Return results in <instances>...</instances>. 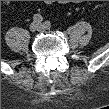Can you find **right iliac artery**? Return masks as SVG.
Returning <instances> with one entry per match:
<instances>
[{
  "label": "right iliac artery",
  "mask_w": 109,
  "mask_h": 109,
  "mask_svg": "<svg viewBox=\"0 0 109 109\" xmlns=\"http://www.w3.org/2000/svg\"><path fill=\"white\" fill-rule=\"evenodd\" d=\"M34 22L41 23L43 21V17L40 14H35L33 16Z\"/></svg>",
  "instance_id": "1"
}]
</instances>
